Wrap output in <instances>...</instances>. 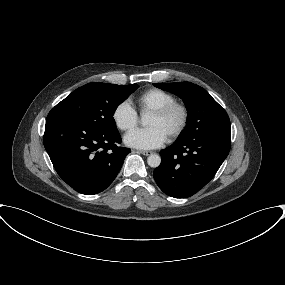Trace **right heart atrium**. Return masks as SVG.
Listing matches in <instances>:
<instances>
[{
  "mask_svg": "<svg viewBox=\"0 0 285 285\" xmlns=\"http://www.w3.org/2000/svg\"><path fill=\"white\" fill-rule=\"evenodd\" d=\"M112 119L118 129L127 132L137 125L138 114L128 101H122L115 106Z\"/></svg>",
  "mask_w": 285,
  "mask_h": 285,
  "instance_id": "obj_1",
  "label": "right heart atrium"
}]
</instances>
